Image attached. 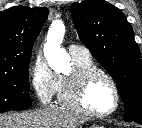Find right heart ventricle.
Returning <instances> with one entry per match:
<instances>
[{
    "label": "right heart ventricle",
    "mask_w": 142,
    "mask_h": 128,
    "mask_svg": "<svg viewBox=\"0 0 142 128\" xmlns=\"http://www.w3.org/2000/svg\"><path fill=\"white\" fill-rule=\"evenodd\" d=\"M77 68H93L95 67L91 58L77 59L73 58ZM57 102L61 107L71 108L67 101V89L65 77H59V86L57 90Z\"/></svg>",
    "instance_id": "obj_1"
}]
</instances>
